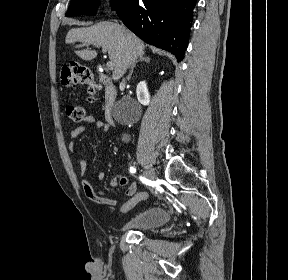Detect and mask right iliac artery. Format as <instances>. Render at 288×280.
<instances>
[{
    "instance_id": "right-iliac-artery-1",
    "label": "right iliac artery",
    "mask_w": 288,
    "mask_h": 280,
    "mask_svg": "<svg viewBox=\"0 0 288 280\" xmlns=\"http://www.w3.org/2000/svg\"><path fill=\"white\" fill-rule=\"evenodd\" d=\"M130 172L131 173H135L136 172V168L135 167H130Z\"/></svg>"
}]
</instances>
